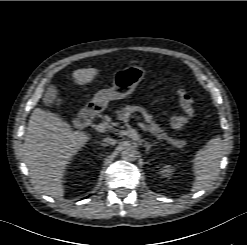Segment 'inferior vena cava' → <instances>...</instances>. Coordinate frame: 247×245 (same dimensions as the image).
<instances>
[{
  "label": "inferior vena cava",
  "instance_id": "602c4592",
  "mask_svg": "<svg viewBox=\"0 0 247 245\" xmlns=\"http://www.w3.org/2000/svg\"><path fill=\"white\" fill-rule=\"evenodd\" d=\"M103 142H104V144H106V145H114V144H116V140L115 139H112V138H104L103 139Z\"/></svg>",
  "mask_w": 247,
  "mask_h": 245
}]
</instances>
